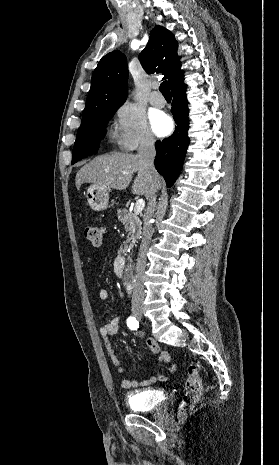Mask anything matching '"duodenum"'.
<instances>
[{"label":"duodenum","mask_w":279,"mask_h":465,"mask_svg":"<svg viewBox=\"0 0 279 465\" xmlns=\"http://www.w3.org/2000/svg\"><path fill=\"white\" fill-rule=\"evenodd\" d=\"M126 266V261H125V251H121V253L117 256L115 260V269L116 272L119 276H123L124 270Z\"/></svg>","instance_id":"duodenum-1"}]
</instances>
